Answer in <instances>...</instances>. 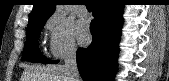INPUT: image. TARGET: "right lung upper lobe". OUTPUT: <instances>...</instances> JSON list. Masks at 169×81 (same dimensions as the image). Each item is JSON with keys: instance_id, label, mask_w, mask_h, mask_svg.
Here are the masks:
<instances>
[{"instance_id": "right-lung-upper-lobe-1", "label": "right lung upper lobe", "mask_w": 169, "mask_h": 81, "mask_svg": "<svg viewBox=\"0 0 169 81\" xmlns=\"http://www.w3.org/2000/svg\"><path fill=\"white\" fill-rule=\"evenodd\" d=\"M56 0H34L35 4L29 17V23L47 20L55 11Z\"/></svg>"}]
</instances>
